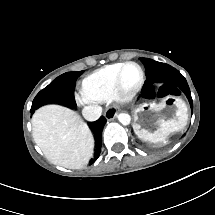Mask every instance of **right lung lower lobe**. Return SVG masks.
Returning <instances> with one entry per match:
<instances>
[{
    "label": "right lung lower lobe",
    "mask_w": 215,
    "mask_h": 215,
    "mask_svg": "<svg viewBox=\"0 0 215 215\" xmlns=\"http://www.w3.org/2000/svg\"><path fill=\"white\" fill-rule=\"evenodd\" d=\"M106 123L105 117H100L97 121L95 122H90V128L92 129L94 135H95V140H96V149L94 153V158L91 159L90 164H92L94 161H96L100 155L101 151V144H102V130L103 127Z\"/></svg>",
    "instance_id": "obj_1"
}]
</instances>
